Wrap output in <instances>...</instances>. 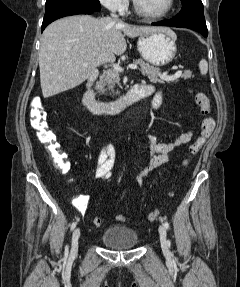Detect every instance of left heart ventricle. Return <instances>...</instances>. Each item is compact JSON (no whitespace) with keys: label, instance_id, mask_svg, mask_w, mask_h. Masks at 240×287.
Returning <instances> with one entry per match:
<instances>
[{"label":"left heart ventricle","instance_id":"left-heart-ventricle-1","mask_svg":"<svg viewBox=\"0 0 240 287\" xmlns=\"http://www.w3.org/2000/svg\"><path fill=\"white\" fill-rule=\"evenodd\" d=\"M140 7L151 12H158L165 8L167 0H136Z\"/></svg>","mask_w":240,"mask_h":287}]
</instances>
